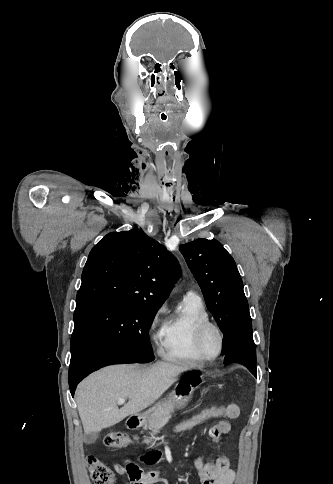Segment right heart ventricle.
I'll use <instances>...</instances> for the list:
<instances>
[{
	"mask_svg": "<svg viewBox=\"0 0 333 484\" xmlns=\"http://www.w3.org/2000/svg\"><path fill=\"white\" fill-rule=\"evenodd\" d=\"M209 320V314L199 296H184L179 307L163 322L159 332L162 356L174 362L190 366H201L206 361L195 346V331L198 325Z\"/></svg>",
	"mask_w": 333,
	"mask_h": 484,
	"instance_id": "right-heart-ventricle-1",
	"label": "right heart ventricle"
}]
</instances>
